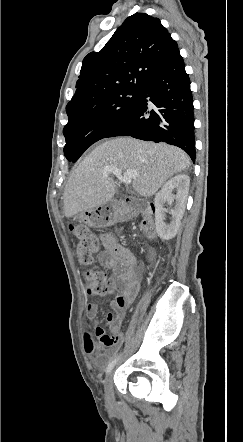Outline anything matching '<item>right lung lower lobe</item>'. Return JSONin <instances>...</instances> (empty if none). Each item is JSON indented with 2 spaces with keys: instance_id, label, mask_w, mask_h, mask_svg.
Returning a JSON list of instances; mask_svg holds the SVG:
<instances>
[{
  "instance_id": "right-lung-lower-lobe-1",
  "label": "right lung lower lobe",
  "mask_w": 243,
  "mask_h": 442,
  "mask_svg": "<svg viewBox=\"0 0 243 442\" xmlns=\"http://www.w3.org/2000/svg\"><path fill=\"white\" fill-rule=\"evenodd\" d=\"M193 110L190 80L178 52L147 79L129 114L104 138L132 136L166 142L182 148L195 161Z\"/></svg>"
}]
</instances>
